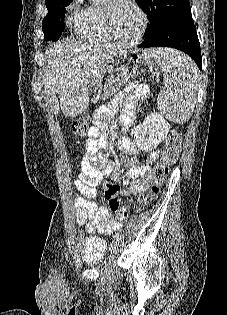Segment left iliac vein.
<instances>
[{
  "mask_svg": "<svg viewBox=\"0 0 227 315\" xmlns=\"http://www.w3.org/2000/svg\"><path fill=\"white\" fill-rule=\"evenodd\" d=\"M118 245H119V240H114L113 243H112V249L116 250Z\"/></svg>",
  "mask_w": 227,
  "mask_h": 315,
  "instance_id": "obj_1",
  "label": "left iliac vein"
}]
</instances>
